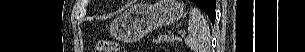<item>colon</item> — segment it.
<instances>
[{"mask_svg": "<svg viewBox=\"0 0 305 52\" xmlns=\"http://www.w3.org/2000/svg\"><path fill=\"white\" fill-rule=\"evenodd\" d=\"M119 48L120 46L117 42L101 39L96 46V52H116L119 51Z\"/></svg>", "mask_w": 305, "mask_h": 52, "instance_id": "obj_1", "label": "colon"}]
</instances>
